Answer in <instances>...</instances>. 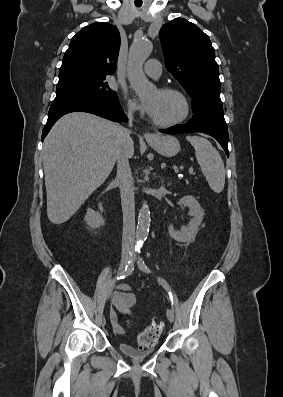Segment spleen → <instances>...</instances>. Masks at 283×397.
I'll return each mask as SVG.
<instances>
[{
    "mask_svg": "<svg viewBox=\"0 0 283 397\" xmlns=\"http://www.w3.org/2000/svg\"><path fill=\"white\" fill-rule=\"evenodd\" d=\"M186 139L195 149L196 159L210 188L220 193L225 184V168L219 152L203 137L187 136Z\"/></svg>",
    "mask_w": 283,
    "mask_h": 397,
    "instance_id": "3e777b00",
    "label": "spleen"
}]
</instances>
